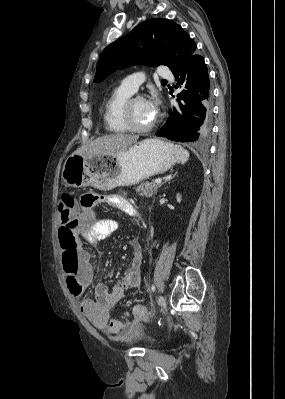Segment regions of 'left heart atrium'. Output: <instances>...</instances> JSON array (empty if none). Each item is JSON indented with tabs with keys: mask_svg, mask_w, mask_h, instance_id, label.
<instances>
[{
	"mask_svg": "<svg viewBox=\"0 0 285 399\" xmlns=\"http://www.w3.org/2000/svg\"><path fill=\"white\" fill-rule=\"evenodd\" d=\"M147 108L149 113L153 118H156V116L159 113V107H158V101L156 98H150L148 100H145Z\"/></svg>",
	"mask_w": 285,
	"mask_h": 399,
	"instance_id": "obj_1",
	"label": "left heart atrium"
}]
</instances>
